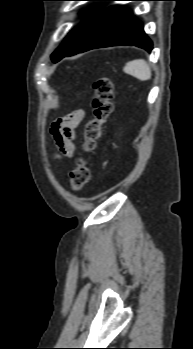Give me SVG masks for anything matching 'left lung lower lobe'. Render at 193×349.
<instances>
[{
  "instance_id": "obj_1",
  "label": "left lung lower lobe",
  "mask_w": 193,
  "mask_h": 349,
  "mask_svg": "<svg viewBox=\"0 0 193 349\" xmlns=\"http://www.w3.org/2000/svg\"><path fill=\"white\" fill-rule=\"evenodd\" d=\"M117 45H135L148 52L152 50V42L144 33L143 25L128 10L120 6H111L98 15L68 52L53 62L87 50Z\"/></svg>"
}]
</instances>
